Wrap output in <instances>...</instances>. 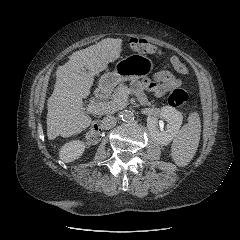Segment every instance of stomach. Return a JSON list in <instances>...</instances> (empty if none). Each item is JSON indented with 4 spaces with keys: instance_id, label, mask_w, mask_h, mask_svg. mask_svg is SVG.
Masks as SVG:
<instances>
[{
    "instance_id": "stomach-1",
    "label": "stomach",
    "mask_w": 240,
    "mask_h": 240,
    "mask_svg": "<svg viewBox=\"0 0 240 240\" xmlns=\"http://www.w3.org/2000/svg\"><path fill=\"white\" fill-rule=\"evenodd\" d=\"M153 69V62L142 54H132L119 60L113 72L105 73L100 79L102 88H112L121 81L147 76Z\"/></svg>"
}]
</instances>
